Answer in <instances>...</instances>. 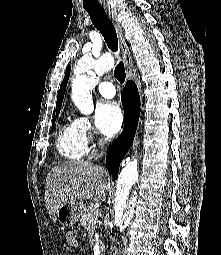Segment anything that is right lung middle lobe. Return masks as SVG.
Instances as JSON below:
<instances>
[{"mask_svg":"<svg viewBox=\"0 0 221 255\" xmlns=\"http://www.w3.org/2000/svg\"><path fill=\"white\" fill-rule=\"evenodd\" d=\"M57 114L59 113V111L56 112ZM55 119H56V116L53 118V124L55 123Z\"/></svg>","mask_w":221,"mask_h":255,"instance_id":"right-lung-middle-lobe-1","label":"right lung middle lobe"}]
</instances>
